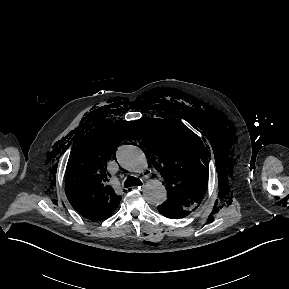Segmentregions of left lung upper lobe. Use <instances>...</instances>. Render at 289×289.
I'll return each instance as SVG.
<instances>
[{"label":"left lung upper lobe","mask_w":289,"mask_h":289,"mask_svg":"<svg viewBox=\"0 0 289 289\" xmlns=\"http://www.w3.org/2000/svg\"><path fill=\"white\" fill-rule=\"evenodd\" d=\"M137 124L141 146L148 152L146 157L169 187L168 198L162 205L191 213L198 208L208 184L204 144L175 119L144 118Z\"/></svg>","instance_id":"obj_1"}]
</instances>
